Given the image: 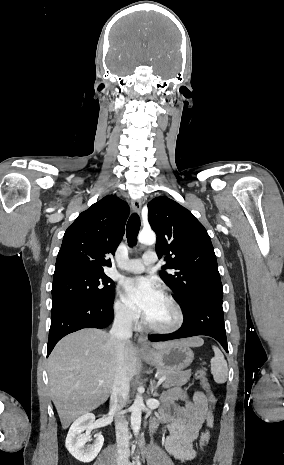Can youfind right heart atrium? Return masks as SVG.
<instances>
[{
  "instance_id": "right-heart-atrium-1",
  "label": "right heart atrium",
  "mask_w": 284,
  "mask_h": 465,
  "mask_svg": "<svg viewBox=\"0 0 284 465\" xmlns=\"http://www.w3.org/2000/svg\"><path fill=\"white\" fill-rule=\"evenodd\" d=\"M112 313L115 320L125 327H133L137 323L136 313L121 298L114 300Z\"/></svg>"
}]
</instances>
